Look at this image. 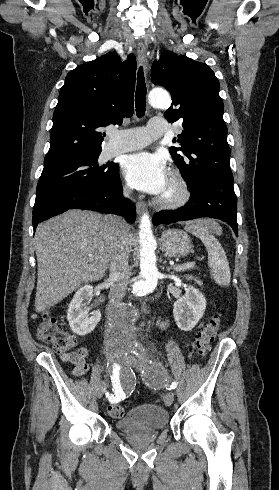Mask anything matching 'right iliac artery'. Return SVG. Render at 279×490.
<instances>
[{
  "label": "right iliac artery",
  "instance_id": "obj_1",
  "mask_svg": "<svg viewBox=\"0 0 279 490\" xmlns=\"http://www.w3.org/2000/svg\"><path fill=\"white\" fill-rule=\"evenodd\" d=\"M119 365L114 363L113 364V374L111 376V380L113 383V392L114 394L112 396L109 395V393H106V397L109 398L110 402H124V397H125V380L124 378H119ZM116 396V397H114Z\"/></svg>",
  "mask_w": 279,
  "mask_h": 490
}]
</instances>
